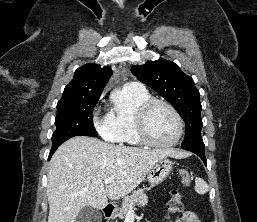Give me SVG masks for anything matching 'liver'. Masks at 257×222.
Masks as SVG:
<instances>
[{
  "mask_svg": "<svg viewBox=\"0 0 257 222\" xmlns=\"http://www.w3.org/2000/svg\"><path fill=\"white\" fill-rule=\"evenodd\" d=\"M185 152L125 147L78 136L64 142L51 158L48 174V222H75L86 206L103 209L133 191L152 166ZM113 177L111 183L104 180Z\"/></svg>",
  "mask_w": 257,
  "mask_h": 222,
  "instance_id": "obj_1",
  "label": "liver"
}]
</instances>
